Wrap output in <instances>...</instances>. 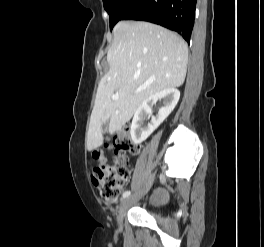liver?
Listing matches in <instances>:
<instances>
[{"instance_id":"obj_1","label":"liver","mask_w":264,"mask_h":247,"mask_svg":"<svg viewBox=\"0 0 264 247\" xmlns=\"http://www.w3.org/2000/svg\"><path fill=\"white\" fill-rule=\"evenodd\" d=\"M107 53L109 71L101 79L91 114L86 147L92 151L108 133L119 131L143 101L156 93L180 87L185 80L188 47L177 34L152 23L120 21ZM118 95V100H112Z\"/></svg>"}]
</instances>
